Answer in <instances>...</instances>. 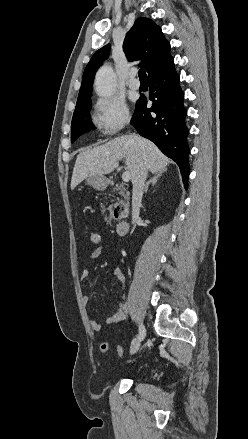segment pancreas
I'll list each match as a JSON object with an SVG mask.
<instances>
[{
	"label": "pancreas",
	"mask_w": 248,
	"mask_h": 439,
	"mask_svg": "<svg viewBox=\"0 0 248 439\" xmlns=\"http://www.w3.org/2000/svg\"><path fill=\"white\" fill-rule=\"evenodd\" d=\"M116 190L120 191V194H122L124 196V199H120L119 203L125 206L129 205V193L126 192L125 193V188L122 184L117 185V187L115 188Z\"/></svg>",
	"instance_id": "pancreas-1"
}]
</instances>
